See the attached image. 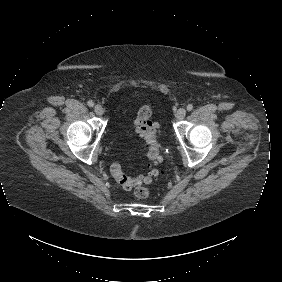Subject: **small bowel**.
Wrapping results in <instances>:
<instances>
[{
    "mask_svg": "<svg viewBox=\"0 0 282 282\" xmlns=\"http://www.w3.org/2000/svg\"><path fill=\"white\" fill-rule=\"evenodd\" d=\"M122 111H123V112H126V111H127V106H126L125 104H123V106H122Z\"/></svg>",
    "mask_w": 282,
    "mask_h": 282,
    "instance_id": "1",
    "label": "small bowel"
}]
</instances>
